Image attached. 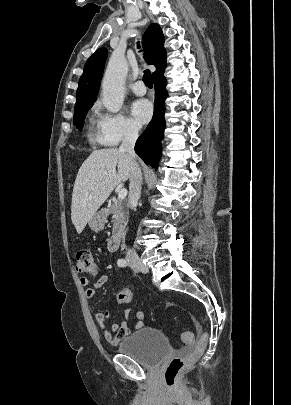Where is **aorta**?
I'll use <instances>...</instances> for the list:
<instances>
[{
	"label": "aorta",
	"instance_id": "762f6f07",
	"mask_svg": "<svg viewBox=\"0 0 291 405\" xmlns=\"http://www.w3.org/2000/svg\"><path fill=\"white\" fill-rule=\"evenodd\" d=\"M127 71L128 63L125 57L114 53L102 82V102L109 112L117 113L123 105Z\"/></svg>",
	"mask_w": 291,
	"mask_h": 405
}]
</instances>
